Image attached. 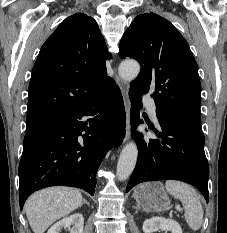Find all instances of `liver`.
Here are the masks:
<instances>
[{"mask_svg": "<svg viewBox=\"0 0 227 233\" xmlns=\"http://www.w3.org/2000/svg\"><path fill=\"white\" fill-rule=\"evenodd\" d=\"M81 193L68 187H51L32 194L24 209L34 233H44L50 225L83 204Z\"/></svg>", "mask_w": 227, "mask_h": 233, "instance_id": "liver-1", "label": "liver"}]
</instances>
